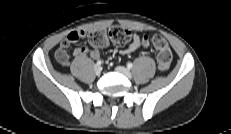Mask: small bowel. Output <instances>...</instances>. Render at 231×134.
I'll return each mask as SVG.
<instances>
[{
	"label": "small bowel",
	"instance_id": "1",
	"mask_svg": "<svg viewBox=\"0 0 231 134\" xmlns=\"http://www.w3.org/2000/svg\"><path fill=\"white\" fill-rule=\"evenodd\" d=\"M86 31L77 30L70 32L65 39L60 43L59 48L55 53L56 60L62 65H68L69 63V47L72 43H75L79 39H83L86 37ZM149 46V37L148 35H140L138 33H134L132 37V41L119 52L122 55L130 54L134 51H137L140 48H147ZM73 56L79 57L88 55L93 59L100 58V53L96 50H90L85 46H80L74 49Z\"/></svg>",
	"mask_w": 231,
	"mask_h": 134
}]
</instances>
